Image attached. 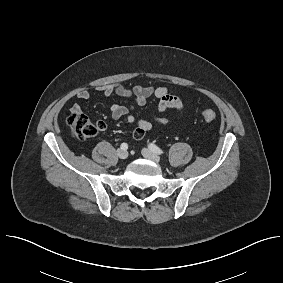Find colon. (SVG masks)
<instances>
[{"label": "colon", "mask_w": 283, "mask_h": 283, "mask_svg": "<svg viewBox=\"0 0 283 283\" xmlns=\"http://www.w3.org/2000/svg\"><path fill=\"white\" fill-rule=\"evenodd\" d=\"M202 117L207 122H212L216 119V113L211 109L202 111ZM68 125L75 138L84 140L95 136L99 130L104 129L105 124L101 121L93 123L85 114L72 113L68 118Z\"/></svg>", "instance_id": "obj_1"}]
</instances>
